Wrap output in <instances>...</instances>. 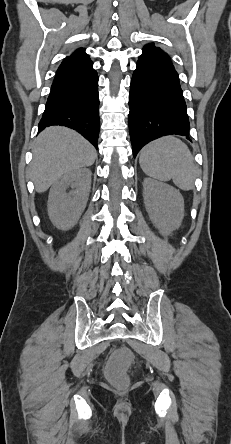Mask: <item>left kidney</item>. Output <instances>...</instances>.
Wrapping results in <instances>:
<instances>
[{"instance_id":"left-kidney-1","label":"left kidney","mask_w":231,"mask_h":444,"mask_svg":"<svg viewBox=\"0 0 231 444\" xmlns=\"http://www.w3.org/2000/svg\"><path fill=\"white\" fill-rule=\"evenodd\" d=\"M143 198L146 210L155 227L162 235L178 229L184 217V199L169 184L150 178L143 182Z\"/></svg>"}]
</instances>
